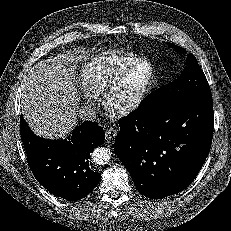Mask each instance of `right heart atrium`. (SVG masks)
<instances>
[{"label": "right heart atrium", "mask_w": 231, "mask_h": 231, "mask_svg": "<svg viewBox=\"0 0 231 231\" xmlns=\"http://www.w3.org/2000/svg\"><path fill=\"white\" fill-rule=\"evenodd\" d=\"M92 98H93V97H92L91 95L85 93V95H84V100H85L87 103L92 102Z\"/></svg>", "instance_id": "1"}]
</instances>
